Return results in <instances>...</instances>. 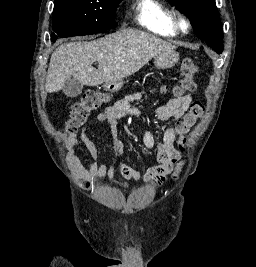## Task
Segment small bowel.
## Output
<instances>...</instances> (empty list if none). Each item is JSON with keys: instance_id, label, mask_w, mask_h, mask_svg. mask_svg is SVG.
<instances>
[{"instance_id": "small-bowel-1", "label": "small bowel", "mask_w": 256, "mask_h": 267, "mask_svg": "<svg viewBox=\"0 0 256 267\" xmlns=\"http://www.w3.org/2000/svg\"><path fill=\"white\" fill-rule=\"evenodd\" d=\"M192 94L193 90H190L180 97L171 99L156 110V118L163 122L170 119L184 118L192 102ZM145 96V92L124 95L97 116L98 122L106 125L113 135V151L116 157L122 155L124 151V142L118 137V120L126 115L136 116L138 111L133 103ZM175 129L173 127L165 128L159 141L150 132L143 131V143L148 149L157 152L158 165L149 168L145 173H140L137 169L117 158L111 164H99L98 149L88 137L87 129L83 128L79 133L72 134L67 138V145L71 148L84 147L90 154L91 159L88 160V167L85 168L80 157L74 151H71L69 153L71 170L85 189L93 188L95 183L102 179L114 180L117 173L126 180H142L156 186L172 171L174 164L180 158V151L176 148ZM178 143L183 148L181 138H179ZM119 185L125 187L127 183L120 182Z\"/></svg>"}]
</instances>
